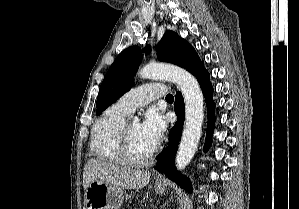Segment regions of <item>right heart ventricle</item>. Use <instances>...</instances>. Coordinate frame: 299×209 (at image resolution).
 <instances>
[{
    "mask_svg": "<svg viewBox=\"0 0 299 209\" xmlns=\"http://www.w3.org/2000/svg\"><path fill=\"white\" fill-rule=\"evenodd\" d=\"M127 114L114 104L95 121L92 127L90 147L100 159L121 163L120 131Z\"/></svg>",
    "mask_w": 299,
    "mask_h": 209,
    "instance_id": "1",
    "label": "right heart ventricle"
}]
</instances>
